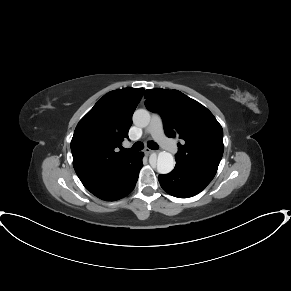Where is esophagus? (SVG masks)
Masks as SVG:
<instances>
[{"mask_svg":"<svg viewBox=\"0 0 291 291\" xmlns=\"http://www.w3.org/2000/svg\"><path fill=\"white\" fill-rule=\"evenodd\" d=\"M144 153H145L146 155H149V154L153 153V150H151V149H149V148H145V149H144Z\"/></svg>","mask_w":291,"mask_h":291,"instance_id":"1","label":"esophagus"}]
</instances>
